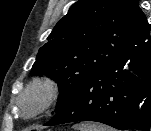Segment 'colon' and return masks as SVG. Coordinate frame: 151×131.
Here are the masks:
<instances>
[{"label":"colon","mask_w":151,"mask_h":131,"mask_svg":"<svg viewBox=\"0 0 151 131\" xmlns=\"http://www.w3.org/2000/svg\"><path fill=\"white\" fill-rule=\"evenodd\" d=\"M26 131H40V129H38V128H29V129L26 130Z\"/></svg>","instance_id":"1"}]
</instances>
